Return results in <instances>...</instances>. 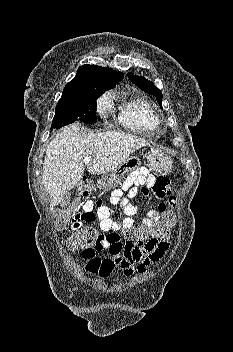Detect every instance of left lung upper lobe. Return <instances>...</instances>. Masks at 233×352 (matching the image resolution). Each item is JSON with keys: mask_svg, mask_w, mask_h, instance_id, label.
<instances>
[{"mask_svg": "<svg viewBox=\"0 0 233 352\" xmlns=\"http://www.w3.org/2000/svg\"><path fill=\"white\" fill-rule=\"evenodd\" d=\"M130 80L142 89L144 92L156 96L157 102L162 106V92L160 89L155 87L152 81H148L143 76L134 75L133 73H128Z\"/></svg>", "mask_w": 233, "mask_h": 352, "instance_id": "left-lung-upper-lobe-1", "label": "left lung upper lobe"}]
</instances>
